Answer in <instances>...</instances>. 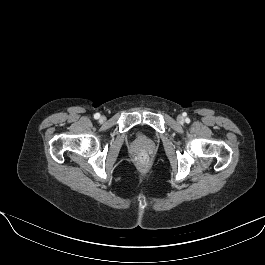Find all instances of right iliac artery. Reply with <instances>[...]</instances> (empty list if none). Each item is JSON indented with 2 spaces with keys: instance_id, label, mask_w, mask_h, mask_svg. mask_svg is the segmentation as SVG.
<instances>
[{
  "instance_id": "obj_1",
  "label": "right iliac artery",
  "mask_w": 265,
  "mask_h": 265,
  "mask_svg": "<svg viewBox=\"0 0 265 265\" xmlns=\"http://www.w3.org/2000/svg\"><path fill=\"white\" fill-rule=\"evenodd\" d=\"M94 118H95V119H99V118H100V114H99V113H96V114L94 115Z\"/></svg>"
}]
</instances>
